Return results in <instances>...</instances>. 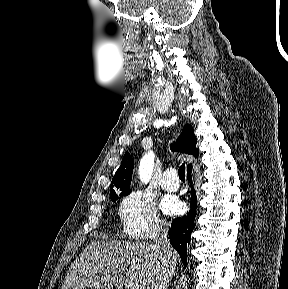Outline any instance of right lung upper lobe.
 I'll return each instance as SVG.
<instances>
[{
  "label": "right lung upper lobe",
  "mask_w": 288,
  "mask_h": 289,
  "mask_svg": "<svg viewBox=\"0 0 288 289\" xmlns=\"http://www.w3.org/2000/svg\"><path fill=\"white\" fill-rule=\"evenodd\" d=\"M197 139L194 135V131L191 125H185L183 127L182 133L179 136L175 145H171V150L178 152H185L188 154H192L195 157L198 156V149L196 148ZM134 161L132 156L126 152L120 167L116 171L112 183L111 189L112 191H128L130 190V183L132 180V172H133ZM192 167L190 164L188 169Z\"/></svg>",
  "instance_id": "1"
}]
</instances>
